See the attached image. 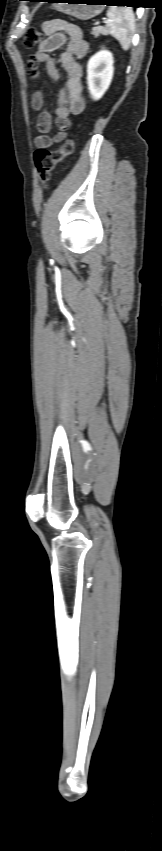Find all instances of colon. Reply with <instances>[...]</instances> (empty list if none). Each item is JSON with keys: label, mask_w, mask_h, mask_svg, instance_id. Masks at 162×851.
Listing matches in <instances>:
<instances>
[{"label": "colon", "mask_w": 162, "mask_h": 851, "mask_svg": "<svg viewBox=\"0 0 162 851\" xmlns=\"http://www.w3.org/2000/svg\"><path fill=\"white\" fill-rule=\"evenodd\" d=\"M43 40V33L36 28H31L26 32L23 44L26 48H32L40 44ZM74 149V140L73 138H69L57 150H49L47 148L40 147L35 151L34 162L39 179L44 187L50 179L52 170L67 156L71 155L74 152Z\"/></svg>", "instance_id": "colon-1"}]
</instances>
